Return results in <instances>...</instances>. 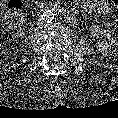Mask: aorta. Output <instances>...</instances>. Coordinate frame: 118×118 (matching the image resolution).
Wrapping results in <instances>:
<instances>
[{
    "label": "aorta",
    "mask_w": 118,
    "mask_h": 118,
    "mask_svg": "<svg viewBox=\"0 0 118 118\" xmlns=\"http://www.w3.org/2000/svg\"><path fill=\"white\" fill-rule=\"evenodd\" d=\"M55 14L51 10H46L41 15V20L45 23H50L54 20Z\"/></svg>",
    "instance_id": "762f6f07"
}]
</instances>
